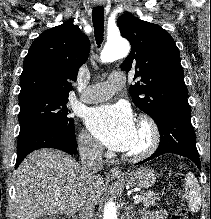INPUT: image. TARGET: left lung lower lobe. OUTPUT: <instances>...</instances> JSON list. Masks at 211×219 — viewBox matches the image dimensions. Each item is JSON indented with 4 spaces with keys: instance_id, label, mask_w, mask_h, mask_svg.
Returning <instances> with one entry per match:
<instances>
[{
    "instance_id": "obj_1",
    "label": "left lung lower lobe",
    "mask_w": 211,
    "mask_h": 219,
    "mask_svg": "<svg viewBox=\"0 0 211 219\" xmlns=\"http://www.w3.org/2000/svg\"><path fill=\"white\" fill-rule=\"evenodd\" d=\"M190 106H171L155 120L160 131V144L153 155L137 164L165 153H175L192 160L200 169L196 137L191 125Z\"/></svg>"
}]
</instances>
